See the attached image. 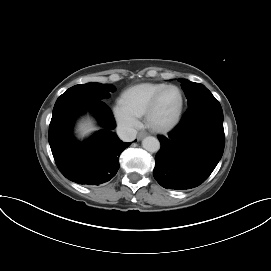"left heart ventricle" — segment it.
Here are the masks:
<instances>
[{"mask_svg": "<svg viewBox=\"0 0 271 271\" xmlns=\"http://www.w3.org/2000/svg\"><path fill=\"white\" fill-rule=\"evenodd\" d=\"M180 103L179 93L175 89L167 90L156 109L154 120L157 123H166L173 118Z\"/></svg>", "mask_w": 271, "mask_h": 271, "instance_id": "b2bd125f", "label": "left heart ventricle"}]
</instances>
